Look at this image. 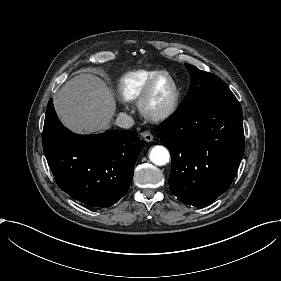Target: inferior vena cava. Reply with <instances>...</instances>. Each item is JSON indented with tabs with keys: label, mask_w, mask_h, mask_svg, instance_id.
<instances>
[{
	"label": "inferior vena cava",
	"mask_w": 281,
	"mask_h": 281,
	"mask_svg": "<svg viewBox=\"0 0 281 281\" xmlns=\"http://www.w3.org/2000/svg\"><path fill=\"white\" fill-rule=\"evenodd\" d=\"M115 124L122 128H130L134 125V120L131 116L126 113H119Z\"/></svg>",
	"instance_id": "1"
}]
</instances>
